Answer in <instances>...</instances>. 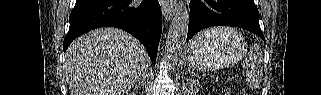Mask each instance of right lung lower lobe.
<instances>
[{"label":"right lung lower lobe","mask_w":321,"mask_h":95,"mask_svg":"<svg viewBox=\"0 0 321 95\" xmlns=\"http://www.w3.org/2000/svg\"><path fill=\"white\" fill-rule=\"evenodd\" d=\"M70 27L64 39L63 50L78 36L95 28H121L137 38L146 48L152 63L162 32L161 8L158 0H81L76 1L69 17Z\"/></svg>","instance_id":"1"}]
</instances>
